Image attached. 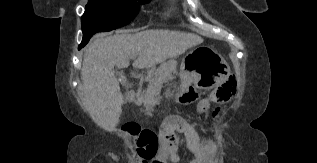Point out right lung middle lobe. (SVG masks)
Masks as SVG:
<instances>
[{
  "label": "right lung middle lobe",
  "instance_id": "obj_1",
  "mask_svg": "<svg viewBox=\"0 0 317 163\" xmlns=\"http://www.w3.org/2000/svg\"><path fill=\"white\" fill-rule=\"evenodd\" d=\"M149 0H89L83 14L82 43L101 31H111L127 25L138 13L139 4Z\"/></svg>",
  "mask_w": 317,
  "mask_h": 163
}]
</instances>
